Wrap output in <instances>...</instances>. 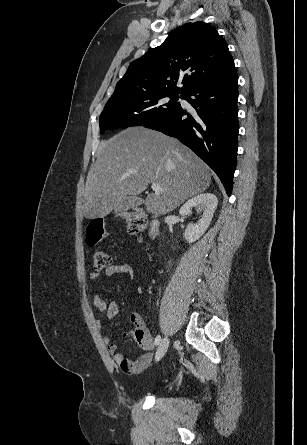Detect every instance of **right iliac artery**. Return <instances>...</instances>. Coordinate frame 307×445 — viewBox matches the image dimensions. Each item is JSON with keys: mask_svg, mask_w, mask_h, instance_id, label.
<instances>
[{"mask_svg": "<svg viewBox=\"0 0 307 445\" xmlns=\"http://www.w3.org/2000/svg\"><path fill=\"white\" fill-rule=\"evenodd\" d=\"M160 341H161V337H160V335H158V336H156V338H155L154 344H155V345H158V344L160 343Z\"/></svg>", "mask_w": 307, "mask_h": 445, "instance_id": "right-iliac-artery-1", "label": "right iliac artery"}]
</instances>
